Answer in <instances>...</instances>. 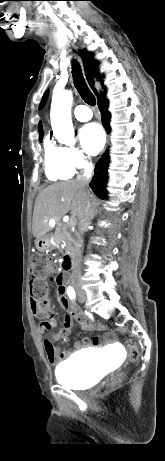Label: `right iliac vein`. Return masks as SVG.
<instances>
[{
	"mask_svg": "<svg viewBox=\"0 0 165 461\" xmlns=\"http://www.w3.org/2000/svg\"><path fill=\"white\" fill-rule=\"evenodd\" d=\"M78 299L81 301V302H85L86 301V295L84 292L82 291H79L78 292Z\"/></svg>",
	"mask_w": 165,
	"mask_h": 461,
	"instance_id": "obj_1",
	"label": "right iliac vein"
}]
</instances>
